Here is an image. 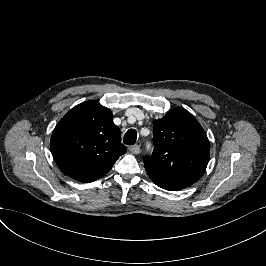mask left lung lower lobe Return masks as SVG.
I'll list each match as a JSON object with an SVG mask.
<instances>
[{
  "label": "left lung lower lobe",
  "instance_id": "left-lung-lower-lobe-1",
  "mask_svg": "<svg viewBox=\"0 0 266 266\" xmlns=\"http://www.w3.org/2000/svg\"><path fill=\"white\" fill-rule=\"evenodd\" d=\"M152 181L158 185L159 187L163 188V189H166V190H169V191H176V190H181V188H178V187H175V186H172L170 184H167V183H164V182H160V181H157V180H154L152 179Z\"/></svg>",
  "mask_w": 266,
  "mask_h": 266
}]
</instances>
